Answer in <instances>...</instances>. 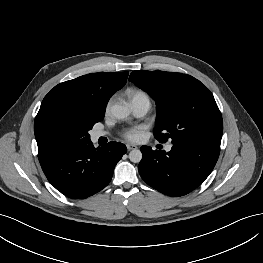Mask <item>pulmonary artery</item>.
Segmentation results:
<instances>
[{"mask_svg":"<svg viewBox=\"0 0 263 263\" xmlns=\"http://www.w3.org/2000/svg\"><path fill=\"white\" fill-rule=\"evenodd\" d=\"M149 109H150V102L148 101H141L133 104L134 114L138 117L144 116L149 111ZM104 135L105 133L102 131H94L92 133V139L97 140ZM170 150H171V145H167L166 151H170Z\"/></svg>","mask_w":263,"mask_h":263,"instance_id":"obj_1","label":"pulmonary artery"}]
</instances>
